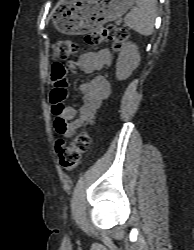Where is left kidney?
I'll return each instance as SVG.
<instances>
[{"label":"left kidney","instance_id":"left-kidney-1","mask_svg":"<svg viewBox=\"0 0 194 250\" xmlns=\"http://www.w3.org/2000/svg\"><path fill=\"white\" fill-rule=\"evenodd\" d=\"M138 47L131 42L124 44L116 65V77L119 80L128 78L140 63Z\"/></svg>","mask_w":194,"mask_h":250}]
</instances>
